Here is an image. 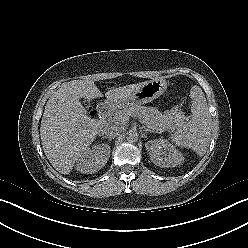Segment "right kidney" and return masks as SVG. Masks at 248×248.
<instances>
[{"mask_svg": "<svg viewBox=\"0 0 248 248\" xmlns=\"http://www.w3.org/2000/svg\"><path fill=\"white\" fill-rule=\"evenodd\" d=\"M110 157V147L107 144L94 145L87 148L79 157L76 170L83 174H92L101 170Z\"/></svg>", "mask_w": 248, "mask_h": 248, "instance_id": "ca27d5eb", "label": "right kidney"}]
</instances>
